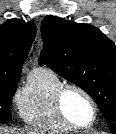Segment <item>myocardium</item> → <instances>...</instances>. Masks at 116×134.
<instances>
[{"label": "myocardium", "instance_id": "1", "mask_svg": "<svg viewBox=\"0 0 116 134\" xmlns=\"http://www.w3.org/2000/svg\"><path fill=\"white\" fill-rule=\"evenodd\" d=\"M69 90H75V91L81 93L90 103L92 112H93V116H92V120L89 124L80 125V124L74 122L66 114L65 109H64V96H65L66 92ZM54 103H55L56 112H57L58 116L60 117V119L64 123H66L68 126L72 127L73 129H88V128L92 127L97 121L98 107H97V104H96L94 98L91 96V94L87 90H85L83 87H81L77 84H74V83L62 84L55 93Z\"/></svg>", "mask_w": 116, "mask_h": 134}]
</instances>
